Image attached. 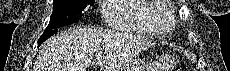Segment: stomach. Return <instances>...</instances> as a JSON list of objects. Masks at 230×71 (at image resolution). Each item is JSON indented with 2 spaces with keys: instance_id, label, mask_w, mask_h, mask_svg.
<instances>
[{
  "instance_id": "1",
  "label": "stomach",
  "mask_w": 230,
  "mask_h": 71,
  "mask_svg": "<svg viewBox=\"0 0 230 71\" xmlns=\"http://www.w3.org/2000/svg\"><path fill=\"white\" fill-rule=\"evenodd\" d=\"M173 66L174 60L172 56L164 54L158 59V66L155 69H158V71H170ZM120 71H145V68L140 66V64L130 63L124 65Z\"/></svg>"
}]
</instances>
